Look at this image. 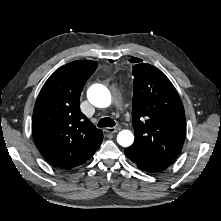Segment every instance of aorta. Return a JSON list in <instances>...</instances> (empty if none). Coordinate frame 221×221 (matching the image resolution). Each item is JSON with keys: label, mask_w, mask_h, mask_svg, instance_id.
<instances>
[{"label": "aorta", "mask_w": 221, "mask_h": 221, "mask_svg": "<svg viewBox=\"0 0 221 221\" xmlns=\"http://www.w3.org/2000/svg\"><path fill=\"white\" fill-rule=\"evenodd\" d=\"M91 104L99 108H106L111 104L109 90L101 84L92 85L87 93ZM117 142L123 147H129L134 142V135L129 130H122L117 135Z\"/></svg>", "instance_id": "obj_1"}]
</instances>
